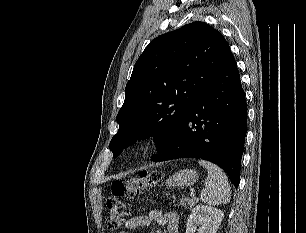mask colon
I'll list each match as a JSON object with an SVG mask.
<instances>
[{"instance_id": "5ec220e1", "label": "colon", "mask_w": 306, "mask_h": 233, "mask_svg": "<svg viewBox=\"0 0 306 233\" xmlns=\"http://www.w3.org/2000/svg\"><path fill=\"white\" fill-rule=\"evenodd\" d=\"M158 178L157 171H144L135 178L112 182L111 197L107 200L106 226L111 230L119 229L129 212L126 200L135 197L146 187L154 185Z\"/></svg>"}]
</instances>
